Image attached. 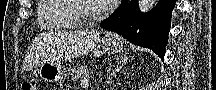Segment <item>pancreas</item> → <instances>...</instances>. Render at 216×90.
<instances>
[{
    "label": "pancreas",
    "instance_id": "obj_1",
    "mask_svg": "<svg viewBox=\"0 0 216 90\" xmlns=\"http://www.w3.org/2000/svg\"><path fill=\"white\" fill-rule=\"evenodd\" d=\"M71 76L73 82H82L84 78H89V70L88 68H85V66H80V68H73Z\"/></svg>",
    "mask_w": 216,
    "mask_h": 90
}]
</instances>
